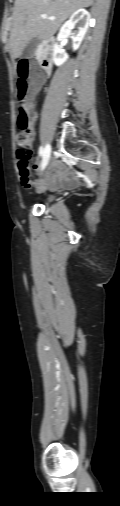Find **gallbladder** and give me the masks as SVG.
<instances>
[{"instance_id": "obj_1", "label": "gallbladder", "mask_w": 120, "mask_h": 506, "mask_svg": "<svg viewBox=\"0 0 120 506\" xmlns=\"http://www.w3.org/2000/svg\"><path fill=\"white\" fill-rule=\"evenodd\" d=\"M40 43L38 38L31 39L22 51V58H32L36 52V49Z\"/></svg>"}]
</instances>
